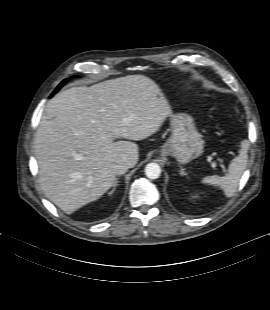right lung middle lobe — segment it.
Listing matches in <instances>:
<instances>
[{
    "label": "right lung middle lobe",
    "instance_id": "1",
    "mask_svg": "<svg viewBox=\"0 0 270 310\" xmlns=\"http://www.w3.org/2000/svg\"><path fill=\"white\" fill-rule=\"evenodd\" d=\"M66 81L67 80H64L56 89H55V91L53 92V94H55L61 87H62V85H64L65 83H66ZM52 94V95H53Z\"/></svg>",
    "mask_w": 270,
    "mask_h": 310
}]
</instances>
